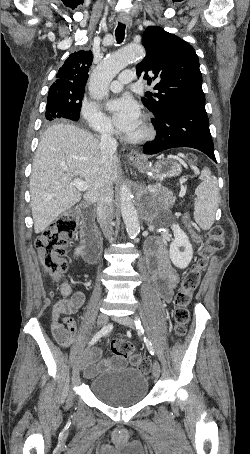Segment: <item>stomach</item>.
Here are the masks:
<instances>
[{"label": "stomach", "instance_id": "0dacf381", "mask_svg": "<svg viewBox=\"0 0 250 454\" xmlns=\"http://www.w3.org/2000/svg\"><path fill=\"white\" fill-rule=\"evenodd\" d=\"M131 162L141 171H151L158 179L176 176L181 173L180 165L171 158H162L153 167H151L148 160L143 157L132 159Z\"/></svg>", "mask_w": 250, "mask_h": 454}]
</instances>
